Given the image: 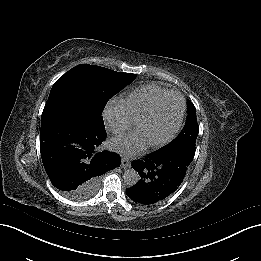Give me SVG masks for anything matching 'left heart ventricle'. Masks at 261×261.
<instances>
[{
	"label": "left heart ventricle",
	"mask_w": 261,
	"mask_h": 261,
	"mask_svg": "<svg viewBox=\"0 0 261 261\" xmlns=\"http://www.w3.org/2000/svg\"><path fill=\"white\" fill-rule=\"evenodd\" d=\"M178 116L179 106L173 104L158 114L144 118L139 123L136 134L143 140H158L174 127Z\"/></svg>",
	"instance_id": "1"
}]
</instances>
